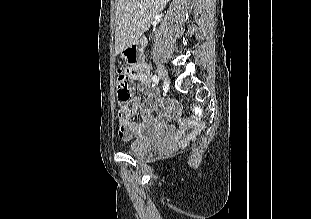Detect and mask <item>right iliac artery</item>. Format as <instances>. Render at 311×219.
<instances>
[{
    "instance_id": "82829eb1",
    "label": "right iliac artery",
    "mask_w": 311,
    "mask_h": 219,
    "mask_svg": "<svg viewBox=\"0 0 311 219\" xmlns=\"http://www.w3.org/2000/svg\"><path fill=\"white\" fill-rule=\"evenodd\" d=\"M152 80H153L154 83L157 84V83L159 82V77H157L156 75H154L153 78H152Z\"/></svg>"
}]
</instances>
